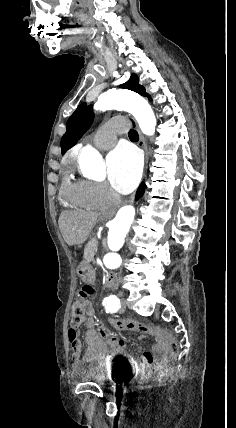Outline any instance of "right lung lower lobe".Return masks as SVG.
<instances>
[{
    "label": "right lung lower lobe",
    "mask_w": 236,
    "mask_h": 428,
    "mask_svg": "<svg viewBox=\"0 0 236 428\" xmlns=\"http://www.w3.org/2000/svg\"><path fill=\"white\" fill-rule=\"evenodd\" d=\"M144 193V183H142L137 191L136 199H139Z\"/></svg>",
    "instance_id": "1"
}]
</instances>
